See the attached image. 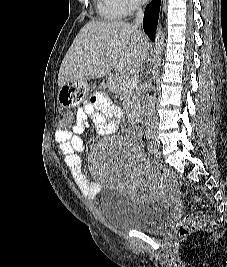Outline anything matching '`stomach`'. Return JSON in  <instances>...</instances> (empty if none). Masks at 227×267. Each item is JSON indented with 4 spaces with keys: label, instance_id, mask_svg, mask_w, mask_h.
I'll list each match as a JSON object with an SVG mask.
<instances>
[{
    "label": "stomach",
    "instance_id": "0dacf381",
    "mask_svg": "<svg viewBox=\"0 0 227 267\" xmlns=\"http://www.w3.org/2000/svg\"><path fill=\"white\" fill-rule=\"evenodd\" d=\"M87 82H64V87H60L56 101H62L61 107H78L83 99H87Z\"/></svg>",
    "mask_w": 227,
    "mask_h": 267
}]
</instances>
